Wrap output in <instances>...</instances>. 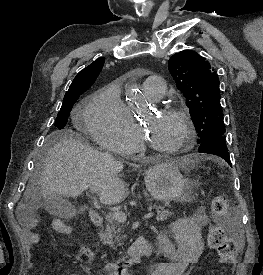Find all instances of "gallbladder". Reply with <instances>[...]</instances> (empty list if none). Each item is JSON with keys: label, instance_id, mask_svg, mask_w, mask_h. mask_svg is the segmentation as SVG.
Listing matches in <instances>:
<instances>
[{"label": "gallbladder", "instance_id": "obj_1", "mask_svg": "<svg viewBox=\"0 0 263 275\" xmlns=\"http://www.w3.org/2000/svg\"><path fill=\"white\" fill-rule=\"evenodd\" d=\"M41 206L53 216L68 219L76 213L75 207L62 196L54 194L41 199Z\"/></svg>", "mask_w": 263, "mask_h": 275}]
</instances>
